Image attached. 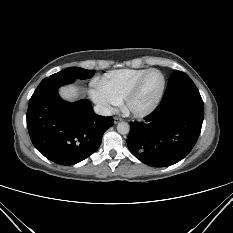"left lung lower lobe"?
Here are the masks:
<instances>
[{
	"label": "left lung lower lobe",
	"instance_id": "obj_1",
	"mask_svg": "<svg viewBox=\"0 0 233 233\" xmlns=\"http://www.w3.org/2000/svg\"><path fill=\"white\" fill-rule=\"evenodd\" d=\"M203 118L204 104L197 87L188 75L175 70L156 110L143 122H130L127 146L149 166L175 164L194 147Z\"/></svg>",
	"mask_w": 233,
	"mask_h": 233
}]
</instances>
